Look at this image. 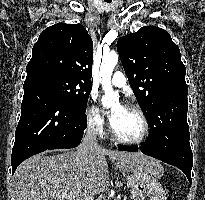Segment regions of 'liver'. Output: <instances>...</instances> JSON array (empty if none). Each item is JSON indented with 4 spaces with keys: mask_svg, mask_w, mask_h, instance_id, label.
I'll list each match as a JSON object with an SVG mask.
<instances>
[{
    "mask_svg": "<svg viewBox=\"0 0 205 200\" xmlns=\"http://www.w3.org/2000/svg\"><path fill=\"white\" fill-rule=\"evenodd\" d=\"M109 156L120 171L148 170L156 175L159 163L141 153L95 149L45 156L35 155L22 162L14 173V200H94L109 186ZM66 194H72L67 197Z\"/></svg>",
    "mask_w": 205,
    "mask_h": 200,
    "instance_id": "1",
    "label": "liver"
}]
</instances>
